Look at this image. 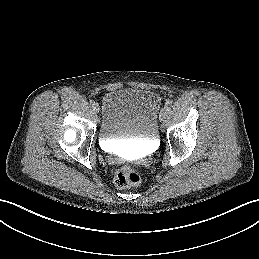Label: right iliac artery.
<instances>
[{
    "label": "right iliac artery",
    "mask_w": 259,
    "mask_h": 259,
    "mask_svg": "<svg viewBox=\"0 0 259 259\" xmlns=\"http://www.w3.org/2000/svg\"><path fill=\"white\" fill-rule=\"evenodd\" d=\"M89 103H90L91 106H94V105H95V102H94L93 100H90Z\"/></svg>",
    "instance_id": "82829eb1"
}]
</instances>
